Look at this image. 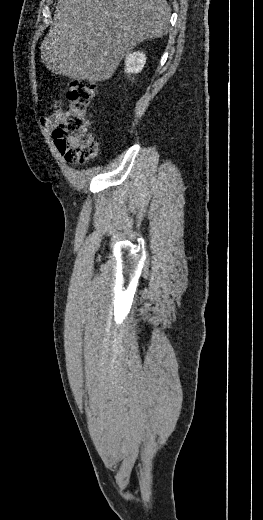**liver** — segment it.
Masks as SVG:
<instances>
[{"label": "liver", "mask_w": 263, "mask_h": 520, "mask_svg": "<svg viewBox=\"0 0 263 520\" xmlns=\"http://www.w3.org/2000/svg\"><path fill=\"white\" fill-rule=\"evenodd\" d=\"M166 0H58L41 46L47 69L77 80H108L139 43L165 36Z\"/></svg>", "instance_id": "liver-1"}]
</instances>
